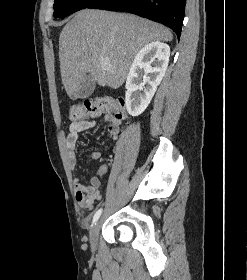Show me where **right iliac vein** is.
I'll list each match as a JSON object with an SVG mask.
<instances>
[{
	"mask_svg": "<svg viewBox=\"0 0 247 280\" xmlns=\"http://www.w3.org/2000/svg\"><path fill=\"white\" fill-rule=\"evenodd\" d=\"M100 222H96L90 230V245L93 250L97 248Z\"/></svg>",
	"mask_w": 247,
	"mask_h": 280,
	"instance_id": "1",
	"label": "right iliac vein"
}]
</instances>
